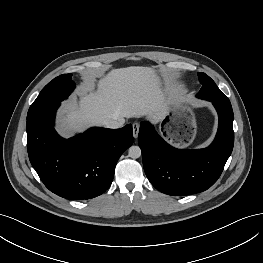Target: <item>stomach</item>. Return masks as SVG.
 <instances>
[{"instance_id": "obj_1", "label": "stomach", "mask_w": 263, "mask_h": 263, "mask_svg": "<svg viewBox=\"0 0 263 263\" xmlns=\"http://www.w3.org/2000/svg\"><path fill=\"white\" fill-rule=\"evenodd\" d=\"M170 120L172 126L167 125L168 135L177 145L185 146L192 143L195 136V117L191 107L180 100L171 101ZM187 125L186 129L181 128V124ZM177 125V126H176Z\"/></svg>"}]
</instances>
